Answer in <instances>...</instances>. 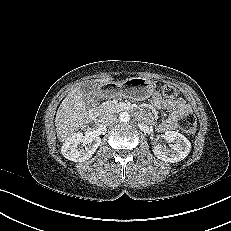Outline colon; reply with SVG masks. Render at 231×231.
<instances>
[{"mask_svg": "<svg viewBox=\"0 0 231 231\" xmlns=\"http://www.w3.org/2000/svg\"><path fill=\"white\" fill-rule=\"evenodd\" d=\"M162 93L165 97L172 98L176 96L177 91L175 87L165 85L162 89ZM177 125L184 134L191 136L196 131V118L192 113H187L179 117Z\"/></svg>", "mask_w": 231, "mask_h": 231, "instance_id": "5ec220e1", "label": "colon"}]
</instances>
